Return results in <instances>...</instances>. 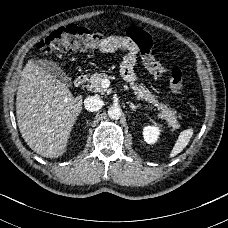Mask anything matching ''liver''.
I'll return each mask as SVG.
<instances>
[{"instance_id": "liver-1", "label": "liver", "mask_w": 228, "mask_h": 228, "mask_svg": "<svg viewBox=\"0 0 228 228\" xmlns=\"http://www.w3.org/2000/svg\"><path fill=\"white\" fill-rule=\"evenodd\" d=\"M82 103V96L74 97L66 84L29 60L16 97L18 127L27 145L46 158L63 155Z\"/></svg>"}]
</instances>
